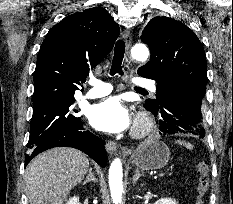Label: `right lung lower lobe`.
<instances>
[{
	"instance_id": "1",
	"label": "right lung lower lobe",
	"mask_w": 233,
	"mask_h": 204,
	"mask_svg": "<svg viewBox=\"0 0 233 204\" xmlns=\"http://www.w3.org/2000/svg\"><path fill=\"white\" fill-rule=\"evenodd\" d=\"M81 124L77 128L64 130L59 132L44 142L39 144L33 150H29L25 159V166L39 153L53 147H73L85 152L101 167H105L107 163V153L105 151L104 141L92 134L90 131H83Z\"/></svg>"
}]
</instances>
